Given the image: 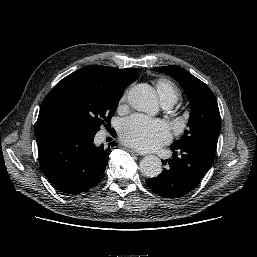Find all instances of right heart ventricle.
Returning a JSON list of instances; mask_svg holds the SVG:
<instances>
[{"label":"right heart ventricle","mask_w":257,"mask_h":257,"mask_svg":"<svg viewBox=\"0 0 257 257\" xmlns=\"http://www.w3.org/2000/svg\"><path fill=\"white\" fill-rule=\"evenodd\" d=\"M155 89L161 103L174 104L180 97V91L170 80L161 78L156 81Z\"/></svg>","instance_id":"e07e8e85"}]
</instances>
